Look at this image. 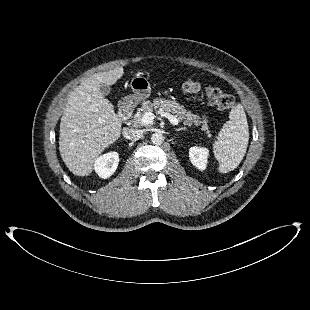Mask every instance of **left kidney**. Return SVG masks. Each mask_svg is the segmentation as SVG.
Returning a JSON list of instances; mask_svg holds the SVG:
<instances>
[{
  "label": "left kidney",
  "mask_w": 310,
  "mask_h": 310,
  "mask_svg": "<svg viewBox=\"0 0 310 310\" xmlns=\"http://www.w3.org/2000/svg\"><path fill=\"white\" fill-rule=\"evenodd\" d=\"M208 155L209 150L207 148L191 147L189 150L191 163L201 171L206 169Z\"/></svg>",
  "instance_id": "1"
}]
</instances>
